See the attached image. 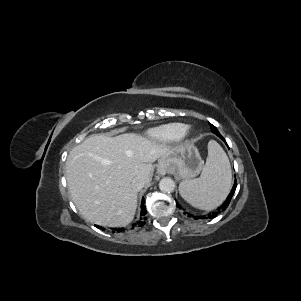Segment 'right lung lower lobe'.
Wrapping results in <instances>:
<instances>
[{"instance_id": "1", "label": "right lung lower lobe", "mask_w": 301, "mask_h": 301, "mask_svg": "<svg viewBox=\"0 0 301 301\" xmlns=\"http://www.w3.org/2000/svg\"><path fill=\"white\" fill-rule=\"evenodd\" d=\"M146 213H147V211H146V207H145V205H144V200H143V201H142V205H141V216H144ZM142 219H146V217H144V218H142ZM137 224H139L140 226H142V225L145 224V222L139 221ZM97 228H100V227L97 226ZM121 231H122L121 228H119V229L113 228V229H112V232H113V233H114V232H121Z\"/></svg>"}]
</instances>
